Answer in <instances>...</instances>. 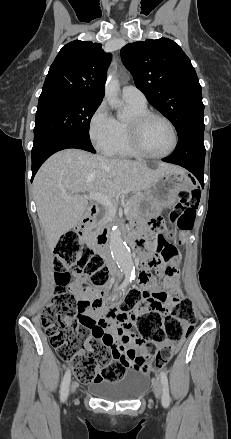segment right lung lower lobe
I'll return each mask as SVG.
<instances>
[{
    "instance_id": "right-lung-lower-lobe-1",
    "label": "right lung lower lobe",
    "mask_w": 231,
    "mask_h": 439,
    "mask_svg": "<svg viewBox=\"0 0 231 439\" xmlns=\"http://www.w3.org/2000/svg\"><path fill=\"white\" fill-rule=\"evenodd\" d=\"M67 148H77L96 153L91 142L85 141L71 134L55 135L46 140L40 146L32 149V180L40 166L48 157L57 151Z\"/></svg>"
}]
</instances>
